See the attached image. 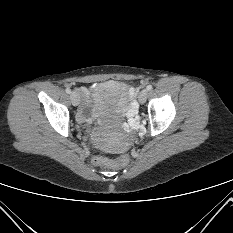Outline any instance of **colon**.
Returning <instances> with one entry per match:
<instances>
[{"label": "colon", "instance_id": "obj_1", "mask_svg": "<svg viewBox=\"0 0 233 233\" xmlns=\"http://www.w3.org/2000/svg\"><path fill=\"white\" fill-rule=\"evenodd\" d=\"M94 163L96 165H109V166H117L119 164L116 160H111L104 156H96L94 158Z\"/></svg>", "mask_w": 233, "mask_h": 233}]
</instances>
